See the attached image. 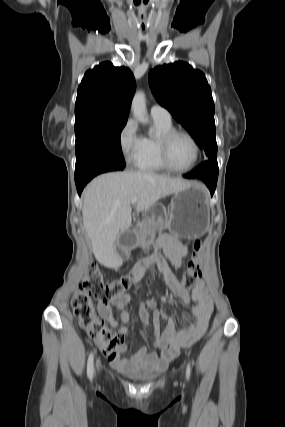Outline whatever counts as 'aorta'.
<instances>
[{
	"mask_svg": "<svg viewBox=\"0 0 285 427\" xmlns=\"http://www.w3.org/2000/svg\"><path fill=\"white\" fill-rule=\"evenodd\" d=\"M131 110L134 117L137 118L141 123H148L149 119L146 108V99L145 94L142 91L135 93L131 104Z\"/></svg>",
	"mask_w": 285,
	"mask_h": 427,
	"instance_id": "obj_1",
	"label": "aorta"
}]
</instances>
